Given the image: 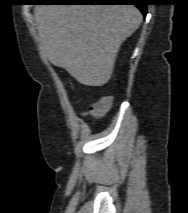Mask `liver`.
I'll list each match as a JSON object with an SVG mask.
<instances>
[{"mask_svg": "<svg viewBox=\"0 0 188 213\" xmlns=\"http://www.w3.org/2000/svg\"><path fill=\"white\" fill-rule=\"evenodd\" d=\"M34 16L49 61L86 86L110 80L121 44L142 22L134 5H36Z\"/></svg>", "mask_w": 188, "mask_h": 213, "instance_id": "1", "label": "liver"}]
</instances>
